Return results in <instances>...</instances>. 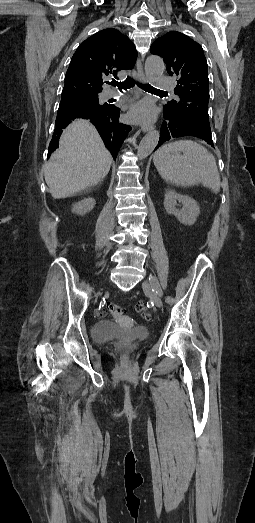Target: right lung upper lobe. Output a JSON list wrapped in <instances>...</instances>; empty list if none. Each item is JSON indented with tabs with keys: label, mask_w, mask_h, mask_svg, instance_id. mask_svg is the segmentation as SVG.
Masks as SVG:
<instances>
[{
	"label": "right lung upper lobe",
	"mask_w": 255,
	"mask_h": 523,
	"mask_svg": "<svg viewBox=\"0 0 255 523\" xmlns=\"http://www.w3.org/2000/svg\"><path fill=\"white\" fill-rule=\"evenodd\" d=\"M137 51L129 38L118 30L104 29L92 35L77 48L65 76L62 99L57 112L56 128L48 148V156L58 147L62 129L75 118L90 119L115 159L130 126L120 120V109L109 103H99L98 94L110 76L117 78L121 70L132 69ZM86 96L90 106L76 107L73 99ZM88 115L83 117L81 112Z\"/></svg>",
	"instance_id": "cb5924a9"
}]
</instances>
